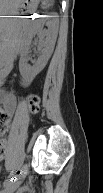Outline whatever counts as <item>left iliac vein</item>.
<instances>
[{
  "instance_id": "obj_1",
  "label": "left iliac vein",
  "mask_w": 103,
  "mask_h": 193,
  "mask_svg": "<svg viewBox=\"0 0 103 193\" xmlns=\"http://www.w3.org/2000/svg\"><path fill=\"white\" fill-rule=\"evenodd\" d=\"M28 172V165L25 164L21 170V173H20V176H19V180L18 181H15L13 182L10 186H9V189L10 190H13L15 188H17L19 186V184L21 183V180L25 177V175L27 174Z\"/></svg>"
}]
</instances>
